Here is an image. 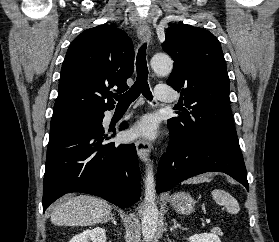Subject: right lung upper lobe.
<instances>
[{"label": "right lung upper lobe", "instance_id": "right-lung-upper-lobe-1", "mask_svg": "<svg viewBox=\"0 0 279 242\" xmlns=\"http://www.w3.org/2000/svg\"><path fill=\"white\" fill-rule=\"evenodd\" d=\"M133 70L134 48L123 30L106 24L85 30L67 50L53 117L113 109L110 89L127 90L126 80Z\"/></svg>", "mask_w": 279, "mask_h": 242}]
</instances>
